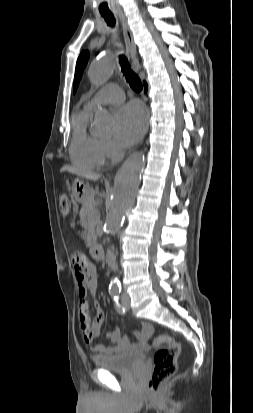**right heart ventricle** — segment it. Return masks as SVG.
Here are the masks:
<instances>
[{"mask_svg": "<svg viewBox=\"0 0 253 413\" xmlns=\"http://www.w3.org/2000/svg\"><path fill=\"white\" fill-rule=\"evenodd\" d=\"M91 116V109L87 107L74 115L72 119L73 133L70 156L77 165L99 168L104 164L106 155L102 146L103 140L89 129Z\"/></svg>", "mask_w": 253, "mask_h": 413, "instance_id": "1", "label": "right heart ventricle"}]
</instances>
